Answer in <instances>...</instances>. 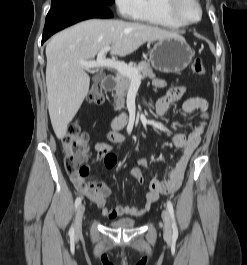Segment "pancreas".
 I'll list each match as a JSON object with an SVG mask.
<instances>
[{
    "mask_svg": "<svg viewBox=\"0 0 247 265\" xmlns=\"http://www.w3.org/2000/svg\"><path fill=\"white\" fill-rule=\"evenodd\" d=\"M131 67L137 69L138 74L141 78L149 77L155 78V74L147 61H141L138 65L132 64ZM116 87H115V110H121L124 108L127 91L131 85V79L121 73L116 75Z\"/></svg>",
    "mask_w": 247,
    "mask_h": 265,
    "instance_id": "obj_1",
    "label": "pancreas"
}]
</instances>
